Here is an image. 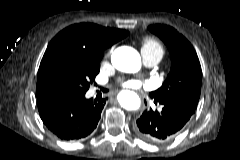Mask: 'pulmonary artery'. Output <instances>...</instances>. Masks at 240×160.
Segmentation results:
<instances>
[{"label":"pulmonary artery","instance_id":"1","mask_svg":"<svg viewBox=\"0 0 240 160\" xmlns=\"http://www.w3.org/2000/svg\"><path fill=\"white\" fill-rule=\"evenodd\" d=\"M141 53L143 57V62L148 67L157 65L162 59V56L158 53L147 52V51H142Z\"/></svg>","mask_w":240,"mask_h":160}]
</instances>
